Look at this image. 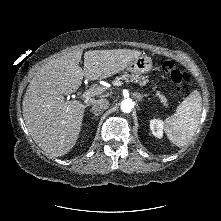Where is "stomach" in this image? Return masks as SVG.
I'll use <instances>...</instances> for the list:
<instances>
[{
  "mask_svg": "<svg viewBox=\"0 0 221 221\" xmlns=\"http://www.w3.org/2000/svg\"><path fill=\"white\" fill-rule=\"evenodd\" d=\"M152 65L153 62L150 57L141 55L127 66V70L132 73L143 74L148 73L152 69Z\"/></svg>",
  "mask_w": 221,
  "mask_h": 221,
  "instance_id": "stomach-1",
  "label": "stomach"
}]
</instances>
